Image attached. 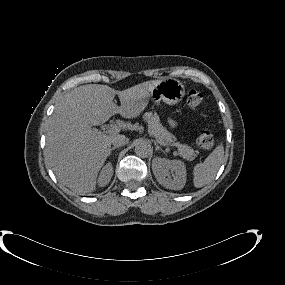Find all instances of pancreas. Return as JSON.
Wrapping results in <instances>:
<instances>
[{
	"instance_id": "1",
	"label": "pancreas",
	"mask_w": 285,
	"mask_h": 285,
	"mask_svg": "<svg viewBox=\"0 0 285 285\" xmlns=\"http://www.w3.org/2000/svg\"><path fill=\"white\" fill-rule=\"evenodd\" d=\"M143 118L148 123V132L151 136H154L156 139H159L169 145L176 146L179 155L185 160L191 161L196 157L197 152L192 147L175 142L176 138L162 125L157 114L146 112L143 115Z\"/></svg>"
}]
</instances>
